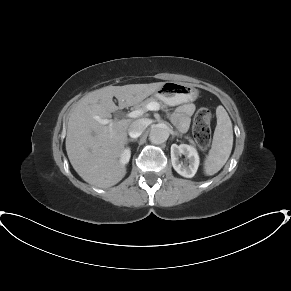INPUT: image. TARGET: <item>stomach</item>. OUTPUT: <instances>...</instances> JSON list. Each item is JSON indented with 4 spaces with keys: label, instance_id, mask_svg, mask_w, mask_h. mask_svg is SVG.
<instances>
[{
    "label": "stomach",
    "instance_id": "stomach-1",
    "mask_svg": "<svg viewBox=\"0 0 291 291\" xmlns=\"http://www.w3.org/2000/svg\"><path fill=\"white\" fill-rule=\"evenodd\" d=\"M197 90L189 84L168 81L155 91V96L168 105H177L196 98Z\"/></svg>",
    "mask_w": 291,
    "mask_h": 291
}]
</instances>
